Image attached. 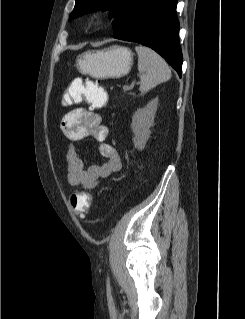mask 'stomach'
Instances as JSON below:
<instances>
[{"instance_id": "stomach-1", "label": "stomach", "mask_w": 245, "mask_h": 319, "mask_svg": "<svg viewBox=\"0 0 245 319\" xmlns=\"http://www.w3.org/2000/svg\"><path fill=\"white\" fill-rule=\"evenodd\" d=\"M132 64L131 50L117 45L103 50L87 51L77 58L79 71L98 79L123 77L129 73Z\"/></svg>"}]
</instances>
